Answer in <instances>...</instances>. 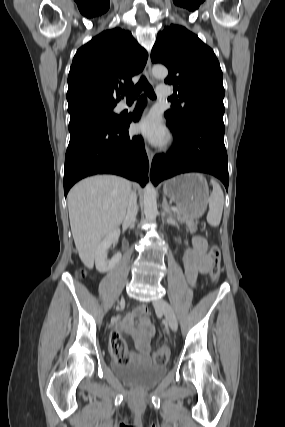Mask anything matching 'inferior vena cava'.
<instances>
[{"instance_id":"1","label":"inferior vena cava","mask_w":285,"mask_h":427,"mask_svg":"<svg viewBox=\"0 0 285 427\" xmlns=\"http://www.w3.org/2000/svg\"><path fill=\"white\" fill-rule=\"evenodd\" d=\"M137 212H138L137 196L134 192H132L129 197L127 213L124 220V222L128 224L130 227H134Z\"/></svg>"}]
</instances>
